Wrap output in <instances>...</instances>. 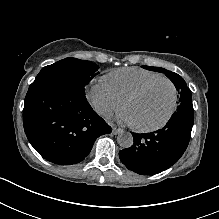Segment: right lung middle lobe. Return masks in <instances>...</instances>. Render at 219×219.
<instances>
[{"label":"right lung middle lobe","instance_id":"obj_1","mask_svg":"<svg viewBox=\"0 0 219 219\" xmlns=\"http://www.w3.org/2000/svg\"><path fill=\"white\" fill-rule=\"evenodd\" d=\"M98 69V65L91 61L65 58L42 68L30 86L54 84L74 89L85 95V86L99 74Z\"/></svg>","mask_w":219,"mask_h":219}]
</instances>
